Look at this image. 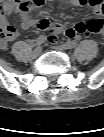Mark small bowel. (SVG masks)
Segmentation results:
<instances>
[{"instance_id":"c3829d8e","label":"small bowel","mask_w":104,"mask_h":137,"mask_svg":"<svg viewBox=\"0 0 104 137\" xmlns=\"http://www.w3.org/2000/svg\"><path fill=\"white\" fill-rule=\"evenodd\" d=\"M61 4H72L78 7H89L94 13L100 18L103 14L104 6L103 0H56ZM45 0H7L1 8L0 14V24L2 28H7L8 23V14L14 10L19 11L20 14V24L23 29H28L32 26H37L40 29H45L51 26L50 20H48L44 15H41L39 18H35L31 15V11L40 7ZM101 19V18H100ZM90 21V20H89ZM88 22V21H86ZM86 22H78L75 25L69 26L67 28H73L77 31L78 34L82 35H97V33L89 32L85 29ZM57 29H63L62 26H53ZM13 28V27H12ZM19 33L13 28V31L7 35L3 41H1V47L3 49L7 48L9 42H12L18 37Z\"/></svg>"}]
</instances>
